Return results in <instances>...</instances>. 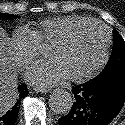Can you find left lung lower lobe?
I'll return each instance as SVG.
<instances>
[{"label":"left lung lower lobe","instance_id":"1","mask_svg":"<svg viewBox=\"0 0 125 125\" xmlns=\"http://www.w3.org/2000/svg\"><path fill=\"white\" fill-rule=\"evenodd\" d=\"M72 92L73 106L59 125H108L124 104L125 71L77 85Z\"/></svg>","mask_w":125,"mask_h":125}]
</instances>
